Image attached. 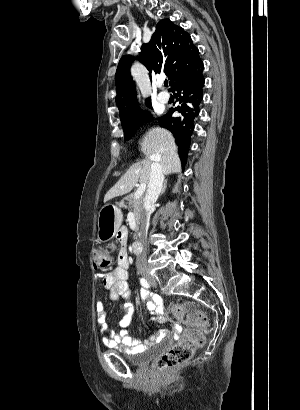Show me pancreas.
<instances>
[{"label":"pancreas","mask_w":300,"mask_h":410,"mask_svg":"<svg viewBox=\"0 0 300 410\" xmlns=\"http://www.w3.org/2000/svg\"><path fill=\"white\" fill-rule=\"evenodd\" d=\"M124 200L127 201V205H125ZM122 202H120V205L123 206L124 208H132L133 212L136 217V221L139 222L141 219V214L143 213V199L142 197L135 199L134 194H130L124 198Z\"/></svg>","instance_id":"1"}]
</instances>
